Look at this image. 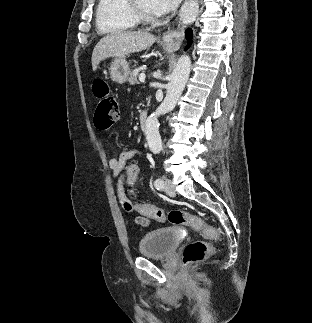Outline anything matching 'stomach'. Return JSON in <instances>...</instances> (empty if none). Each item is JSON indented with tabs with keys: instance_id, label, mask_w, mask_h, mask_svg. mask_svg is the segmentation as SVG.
<instances>
[{
	"instance_id": "stomach-1",
	"label": "stomach",
	"mask_w": 312,
	"mask_h": 323,
	"mask_svg": "<svg viewBox=\"0 0 312 323\" xmlns=\"http://www.w3.org/2000/svg\"><path fill=\"white\" fill-rule=\"evenodd\" d=\"M109 72L113 82L124 84L130 74L129 64L126 62L125 58H115L109 68Z\"/></svg>"
}]
</instances>
